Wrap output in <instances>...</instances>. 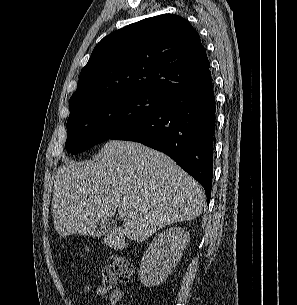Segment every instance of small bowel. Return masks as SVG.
Listing matches in <instances>:
<instances>
[{
  "label": "small bowel",
  "mask_w": 297,
  "mask_h": 305,
  "mask_svg": "<svg viewBox=\"0 0 297 305\" xmlns=\"http://www.w3.org/2000/svg\"><path fill=\"white\" fill-rule=\"evenodd\" d=\"M82 295L85 300L107 297V305H118L124 297V292L116 287V278L106 269L102 273L101 284L97 287H93L89 283L84 285ZM81 305H87V303L84 302Z\"/></svg>",
  "instance_id": "1"
}]
</instances>
